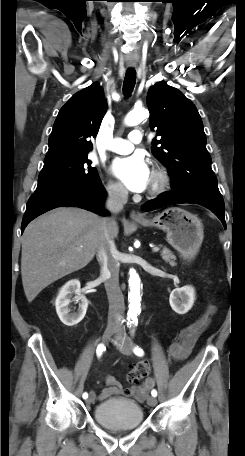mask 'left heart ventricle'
<instances>
[{"label":"left heart ventricle","mask_w":245,"mask_h":456,"mask_svg":"<svg viewBox=\"0 0 245 456\" xmlns=\"http://www.w3.org/2000/svg\"><path fill=\"white\" fill-rule=\"evenodd\" d=\"M151 182H152V175H151V179H150V184H151Z\"/></svg>","instance_id":"left-heart-ventricle-1"}]
</instances>
